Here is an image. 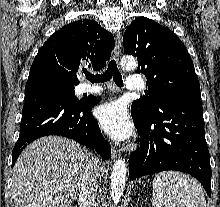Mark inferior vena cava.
<instances>
[{
	"label": "inferior vena cava",
	"mask_w": 220,
	"mask_h": 207,
	"mask_svg": "<svg viewBox=\"0 0 220 207\" xmlns=\"http://www.w3.org/2000/svg\"><path fill=\"white\" fill-rule=\"evenodd\" d=\"M100 167L98 159L93 158L90 167L82 176L79 184V207H96L98 177Z\"/></svg>",
	"instance_id": "inferior-vena-cava-1"
}]
</instances>
